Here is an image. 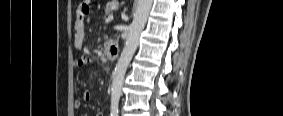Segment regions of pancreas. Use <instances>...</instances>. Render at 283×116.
Returning a JSON list of instances; mask_svg holds the SVG:
<instances>
[{
	"label": "pancreas",
	"instance_id": "obj_1",
	"mask_svg": "<svg viewBox=\"0 0 283 116\" xmlns=\"http://www.w3.org/2000/svg\"><path fill=\"white\" fill-rule=\"evenodd\" d=\"M118 1L113 0L109 3H107L106 8H105V17L111 15L112 13V7L118 6Z\"/></svg>",
	"mask_w": 283,
	"mask_h": 116
}]
</instances>
